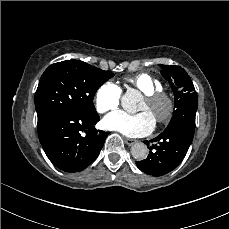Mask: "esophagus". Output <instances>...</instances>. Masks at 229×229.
Segmentation results:
<instances>
[{
  "label": "esophagus",
  "instance_id": "esophagus-1",
  "mask_svg": "<svg viewBox=\"0 0 229 229\" xmlns=\"http://www.w3.org/2000/svg\"><path fill=\"white\" fill-rule=\"evenodd\" d=\"M125 143H126L128 146H132V145H134L135 143H137V140H136V139H131V138H126V139H125Z\"/></svg>",
  "mask_w": 229,
  "mask_h": 229
}]
</instances>
